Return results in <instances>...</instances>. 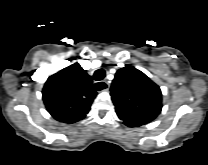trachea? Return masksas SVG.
Wrapping results in <instances>:
<instances>
[{
    "label": "trachea",
    "mask_w": 208,
    "mask_h": 165,
    "mask_svg": "<svg viewBox=\"0 0 208 165\" xmlns=\"http://www.w3.org/2000/svg\"><path fill=\"white\" fill-rule=\"evenodd\" d=\"M104 77H105V71L103 69H98V70L95 71V73H94V79L95 80L100 81ZM95 88L100 91V90L104 89L105 87H103L100 84H96Z\"/></svg>",
    "instance_id": "trachea-1"
}]
</instances>
